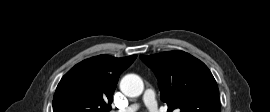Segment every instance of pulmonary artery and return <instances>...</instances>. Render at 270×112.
I'll return each mask as SVG.
<instances>
[{"label":"pulmonary artery","mask_w":270,"mask_h":112,"mask_svg":"<svg viewBox=\"0 0 270 112\" xmlns=\"http://www.w3.org/2000/svg\"><path fill=\"white\" fill-rule=\"evenodd\" d=\"M143 101L150 112H160V108L155 99V92L152 89H147L143 95ZM139 104H133L125 109L118 110L117 112H136Z\"/></svg>","instance_id":"e3ab8cb5"}]
</instances>
